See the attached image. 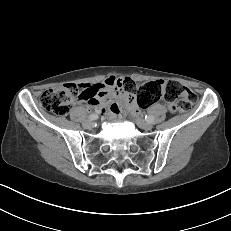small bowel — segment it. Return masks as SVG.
Listing matches in <instances>:
<instances>
[{
	"label": "small bowel",
	"mask_w": 231,
	"mask_h": 231,
	"mask_svg": "<svg viewBox=\"0 0 231 231\" xmlns=\"http://www.w3.org/2000/svg\"><path fill=\"white\" fill-rule=\"evenodd\" d=\"M122 82L121 78L110 76L104 81L91 85L81 84L80 87L87 90L89 94L79 102H86L89 105L100 108L103 111L105 105L110 104L114 97H117L121 103L133 112H138L135 100L132 95L124 92L118 85ZM120 110V105L113 103L109 106V114H116Z\"/></svg>",
	"instance_id": "small-bowel-1"
}]
</instances>
